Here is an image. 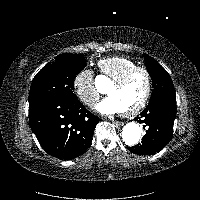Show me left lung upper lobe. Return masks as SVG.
Segmentation results:
<instances>
[{
  "label": "left lung upper lobe",
  "instance_id": "obj_1",
  "mask_svg": "<svg viewBox=\"0 0 200 200\" xmlns=\"http://www.w3.org/2000/svg\"><path fill=\"white\" fill-rule=\"evenodd\" d=\"M144 58L147 70L152 78L153 91L151 98L163 93L175 94L169 73L152 57L144 54Z\"/></svg>",
  "mask_w": 200,
  "mask_h": 200
}]
</instances>
